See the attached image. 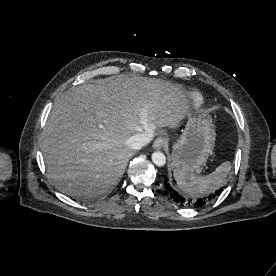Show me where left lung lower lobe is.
<instances>
[{
    "mask_svg": "<svg viewBox=\"0 0 276 276\" xmlns=\"http://www.w3.org/2000/svg\"><path fill=\"white\" fill-rule=\"evenodd\" d=\"M164 189L165 191L170 195V197L175 201L176 203L182 205V206H188V207H193V206H202L211 200H213L217 195H219L222 191L223 188L216 189L213 192H210L208 194H205L204 197L198 198V199H192V198H187L179 194L177 191L174 190L172 185L170 184L168 178L164 179Z\"/></svg>",
    "mask_w": 276,
    "mask_h": 276,
    "instance_id": "0a47b994",
    "label": "left lung lower lobe"
}]
</instances>
